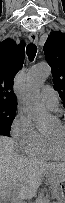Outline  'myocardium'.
<instances>
[{"mask_svg":"<svg viewBox=\"0 0 65 203\" xmlns=\"http://www.w3.org/2000/svg\"><path fill=\"white\" fill-rule=\"evenodd\" d=\"M62 128V138H52L46 135L48 142L50 144L51 150L58 155H61V151L65 150V124L61 123Z\"/></svg>","mask_w":65,"mask_h":203,"instance_id":"myocardium-1","label":"myocardium"}]
</instances>
